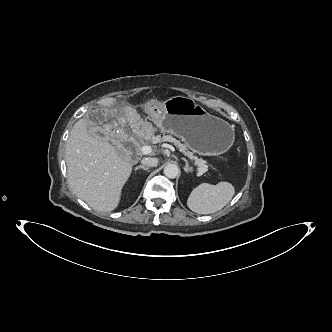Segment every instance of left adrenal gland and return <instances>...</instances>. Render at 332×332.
<instances>
[{
	"label": "left adrenal gland",
	"instance_id": "1",
	"mask_svg": "<svg viewBox=\"0 0 332 332\" xmlns=\"http://www.w3.org/2000/svg\"><path fill=\"white\" fill-rule=\"evenodd\" d=\"M183 161L185 162V167H184V171L186 173L190 172L191 171V168L189 167V163H188V160L186 158H182Z\"/></svg>",
	"mask_w": 332,
	"mask_h": 332
}]
</instances>
